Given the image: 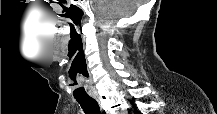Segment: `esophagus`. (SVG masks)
Wrapping results in <instances>:
<instances>
[{
	"label": "esophagus",
	"mask_w": 217,
	"mask_h": 114,
	"mask_svg": "<svg viewBox=\"0 0 217 114\" xmlns=\"http://www.w3.org/2000/svg\"><path fill=\"white\" fill-rule=\"evenodd\" d=\"M95 100L98 102L101 112L104 113L107 111L106 107H105V103L104 100L102 99V97H100L99 95H94Z\"/></svg>",
	"instance_id": "obj_1"
}]
</instances>
